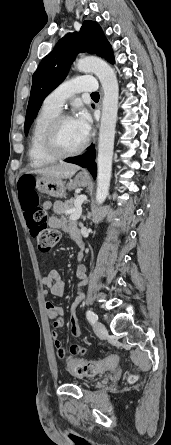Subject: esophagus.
Segmentation results:
<instances>
[{
    "label": "esophagus",
    "mask_w": 171,
    "mask_h": 445,
    "mask_svg": "<svg viewBox=\"0 0 171 445\" xmlns=\"http://www.w3.org/2000/svg\"><path fill=\"white\" fill-rule=\"evenodd\" d=\"M83 174H87V171L86 170H84L83 172H82Z\"/></svg>",
    "instance_id": "1"
}]
</instances>
